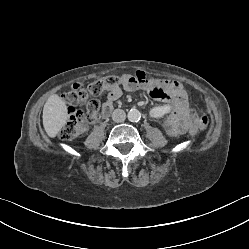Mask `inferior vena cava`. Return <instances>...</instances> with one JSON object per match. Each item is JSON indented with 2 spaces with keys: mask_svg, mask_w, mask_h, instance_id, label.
<instances>
[{
  "mask_svg": "<svg viewBox=\"0 0 249 249\" xmlns=\"http://www.w3.org/2000/svg\"><path fill=\"white\" fill-rule=\"evenodd\" d=\"M126 119V113L122 109H116L112 113V120L116 123L123 122Z\"/></svg>",
  "mask_w": 249,
  "mask_h": 249,
  "instance_id": "obj_1",
  "label": "inferior vena cava"
}]
</instances>
